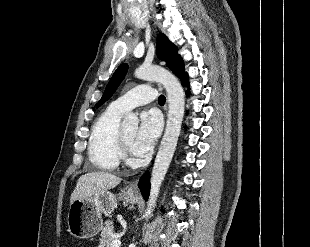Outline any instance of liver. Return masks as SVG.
<instances>
[{
    "label": "liver",
    "instance_id": "6515ba94",
    "mask_svg": "<svg viewBox=\"0 0 310 247\" xmlns=\"http://www.w3.org/2000/svg\"><path fill=\"white\" fill-rule=\"evenodd\" d=\"M121 178L108 172H88L77 181L76 187L71 194L70 203L76 199H86L95 193L116 187Z\"/></svg>",
    "mask_w": 310,
    "mask_h": 247
}]
</instances>
